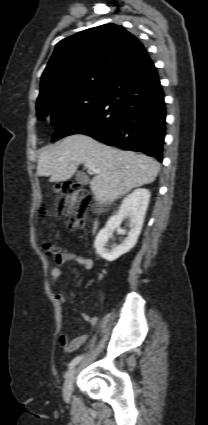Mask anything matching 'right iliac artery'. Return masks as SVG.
I'll use <instances>...</instances> for the list:
<instances>
[{
	"label": "right iliac artery",
	"mask_w": 208,
	"mask_h": 425,
	"mask_svg": "<svg viewBox=\"0 0 208 425\" xmlns=\"http://www.w3.org/2000/svg\"><path fill=\"white\" fill-rule=\"evenodd\" d=\"M84 357V355H80L75 357L69 364H68V368L72 369L75 365H77L81 359Z\"/></svg>",
	"instance_id": "82829eb1"
}]
</instances>
